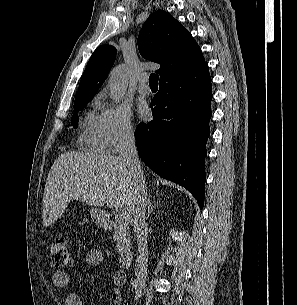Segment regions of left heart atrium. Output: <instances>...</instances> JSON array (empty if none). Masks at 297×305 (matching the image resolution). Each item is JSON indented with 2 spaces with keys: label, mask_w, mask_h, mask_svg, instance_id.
<instances>
[{
  "label": "left heart atrium",
  "mask_w": 297,
  "mask_h": 305,
  "mask_svg": "<svg viewBox=\"0 0 297 305\" xmlns=\"http://www.w3.org/2000/svg\"><path fill=\"white\" fill-rule=\"evenodd\" d=\"M146 114H147V108H146L145 106H141V107L139 108V115H140L141 117H145Z\"/></svg>",
  "instance_id": "left-heart-atrium-1"
}]
</instances>
